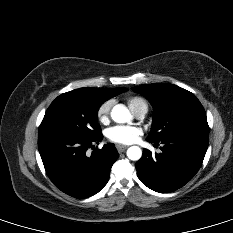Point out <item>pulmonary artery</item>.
<instances>
[{"label": "pulmonary artery", "instance_id": "obj_1", "mask_svg": "<svg viewBox=\"0 0 233 233\" xmlns=\"http://www.w3.org/2000/svg\"><path fill=\"white\" fill-rule=\"evenodd\" d=\"M147 110H148L147 106H140L133 111V114L137 118H143L145 116V114L147 113Z\"/></svg>", "mask_w": 233, "mask_h": 233}]
</instances>
